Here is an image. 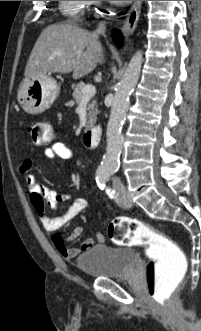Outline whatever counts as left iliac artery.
<instances>
[{"instance_id": "obj_1", "label": "left iliac artery", "mask_w": 201, "mask_h": 331, "mask_svg": "<svg viewBox=\"0 0 201 331\" xmlns=\"http://www.w3.org/2000/svg\"><path fill=\"white\" fill-rule=\"evenodd\" d=\"M116 171H117L116 169H106V170H102L101 172L98 173V175L96 177V181H97V184L100 189H104L106 181H108L109 177ZM108 193L110 196V195H112V193H114V191H112V193H111L110 189H107V194ZM111 198H113V195L111 196Z\"/></svg>"}]
</instances>
